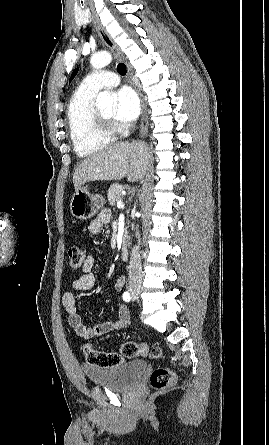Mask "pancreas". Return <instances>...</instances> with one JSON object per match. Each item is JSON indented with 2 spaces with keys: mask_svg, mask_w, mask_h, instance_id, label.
I'll list each match as a JSON object with an SVG mask.
<instances>
[{
  "mask_svg": "<svg viewBox=\"0 0 269 445\" xmlns=\"http://www.w3.org/2000/svg\"><path fill=\"white\" fill-rule=\"evenodd\" d=\"M124 187L120 184H113L110 186L108 190V201L110 204H116L118 201H121L123 198L122 191Z\"/></svg>",
  "mask_w": 269,
  "mask_h": 445,
  "instance_id": "1",
  "label": "pancreas"
}]
</instances>
